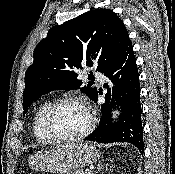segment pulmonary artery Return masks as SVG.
I'll use <instances>...</instances> for the list:
<instances>
[{"mask_svg":"<svg viewBox=\"0 0 175 174\" xmlns=\"http://www.w3.org/2000/svg\"><path fill=\"white\" fill-rule=\"evenodd\" d=\"M94 74L99 78V79H101V80H103V75L101 74V73H99V72H94Z\"/></svg>","mask_w":175,"mask_h":174,"instance_id":"e3ab8cb5","label":"pulmonary artery"}]
</instances>
